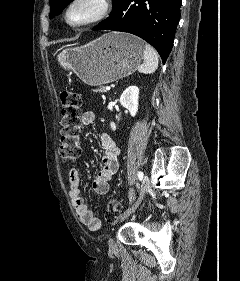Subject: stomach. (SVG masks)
Here are the masks:
<instances>
[{
    "label": "stomach",
    "instance_id": "obj_1",
    "mask_svg": "<svg viewBox=\"0 0 240 281\" xmlns=\"http://www.w3.org/2000/svg\"><path fill=\"white\" fill-rule=\"evenodd\" d=\"M145 43L126 33L111 32L80 47L67 48L59 64L91 86L113 82L132 74L144 57Z\"/></svg>",
    "mask_w": 240,
    "mask_h": 281
}]
</instances>
